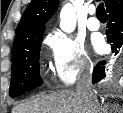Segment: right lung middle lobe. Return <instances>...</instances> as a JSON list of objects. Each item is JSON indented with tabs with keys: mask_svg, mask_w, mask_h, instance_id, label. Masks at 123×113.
<instances>
[{
	"mask_svg": "<svg viewBox=\"0 0 123 113\" xmlns=\"http://www.w3.org/2000/svg\"><path fill=\"white\" fill-rule=\"evenodd\" d=\"M43 35L24 42L13 50L9 93L17 97L42 84L39 74V55Z\"/></svg>",
	"mask_w": 123,
	"mask_h": 113,
	"instance_id": "dd1d6c3e",
	"label": "right lung middle lobe"
}]
</instances>
